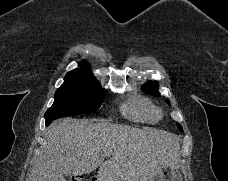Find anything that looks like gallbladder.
<instances>
[{
    "label": "gallbladder",
    "instance_id": "gallbladder-1",
    "mask_svg": "<svg viewBox=\"0 0 228 181\" xmlns=\"http://www.w3.org/2000/svg\"><path fill=\"white\" fill-rule=\"evenodd\" d=\"M70 173H67L66 177H69Z\"/></svg>",
    "mask_w": 228,
    "mask_h": 181
}]
</instances>
